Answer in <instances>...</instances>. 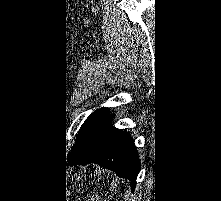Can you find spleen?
Masks as SVG:
<instances>
[{
  "mask_svg": "<svg viewBox=\"0 0 221 201\" xmlns=\"http://www.w3.org/2000/svg\"><path fill=\"white\" fill-rule=\"evenodd\" d=\"M99 199L101 198L98 195H96L95 197L94 196L91 197V201H98Z\"/></svg>",
  "mask_w": 221,
  "mask_h": 201,
  "instance_id": "3e777b00",
  "label": "spleen"
}]
</instances>
